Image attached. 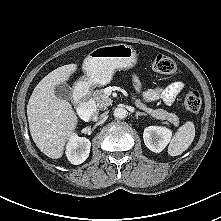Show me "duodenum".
<instances>
[{
    "instance_id": "duodenum-1",
    "label": "duodenum",
    "mask_w": 221,
    "mask_h": 221,
    "mask_svg": "<svg viewBox=\"0 0 221 221\" xmlns=\"http://www.w3.org/2000/svg\"><path fill=\"white\" fill-rule=\"evenodd\" d=\"M78 111L82 119L90 120L96 116V105L92 99L84 98L79 103Z\"/></svg>"
}]
</instances>
